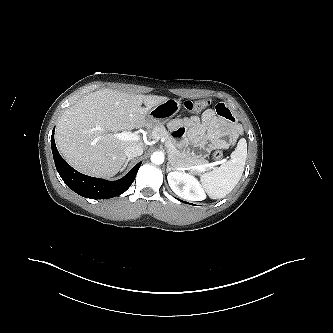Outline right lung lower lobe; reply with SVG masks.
Masks as SVG:
<instances>
[{
  "label": "right lung lower lobe",
  "mask_w": 333,
  "mask_h": 333,
  "mask_svg": "<svg viewBox=\"0 0 333 333\" xmlns=\"http://www.w3.org/2000/svg\"><path fill=\"white\" fill-rule=\"evenodd\" d=\"M52 153L56 169L64 183L77 194L90 199H106L124 193L133 183L141 162L135 165L123 178L107 181L83 175L73 169L59 154L54 140V129L51 137Z\"/></svg>",
  "instance_id": "obj_1"
}]
</instances>
